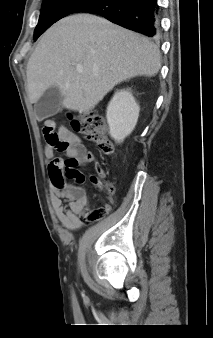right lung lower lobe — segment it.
Instances as JSON below:
<instances>
[{
  "label": "right lung lower lobe",
  "instance_id": "1",
  "mask_svg": "<svg viewBox=\"0 0 213 338\" xmlns=\"http://www.w3.org/2000/svg\"><path fill=\"white\" fill-rule=\"evenodd\" d=\"M89 12L149 37L159 34L157 0H92L74 13Z\"/></svg>",
  "mask_w": 213,
  "mask_h": 338
}]
</instances>
